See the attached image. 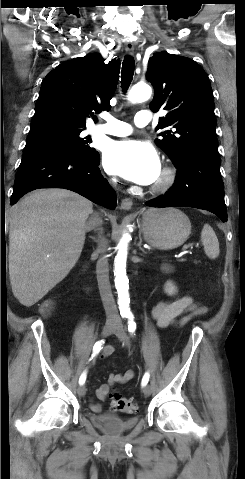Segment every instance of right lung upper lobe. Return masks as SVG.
Instances as JSON below:
<instances>
[{"mask_svg": "<svg viewBox=\"0 0 245 479\" xmlns=\"http://www.w3.org/2000/svg\"><path fill=\"white\" fill-rule=\"evenodd\" d=\"M119 68L117 60L105 64L97 53L58 65L42 82L31 128L64 125L85 129L86 117L110 109ZM93 120L97 121L95 116Z\"/></svg>", "mask_w": 245, "mask_h": 479, "instance_id": "right-lung-upper-lobe-1", "label": "right lung upper lobe"}]
</instances>
